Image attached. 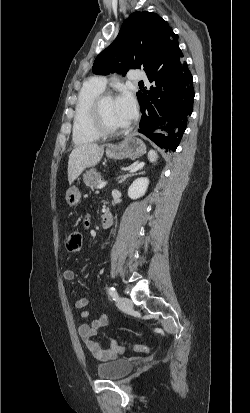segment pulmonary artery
<instances>
[{
    "instance_id": "pulmonary-artery-1",
    "label": "pulmonary artery",
    "mask_w": 250,
    "mask_h": 413,
    "mask_svg": "<svg viewBox=\"0 0 250 413\" xmlns=\"http://www.w3.org/2000/svg\"><path fill=\"white\" fill-rule=\"evenodd\" d=\"M129 79L139 81V80H146L147 76L143 71L140 70H133L129 74ZM98 86L101 88H105L107 79L104 76H98L93 80Z\"/></svg>"
}]
</instances>
